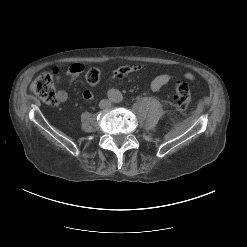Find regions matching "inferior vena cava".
I'll return each instance as SVG.
<instances>
[{
	"mask_svg": "<svg viewBox=\"0 0 247 247\" xmlns=\"http://www.w3.org/2000/svg\"><path fill=\"white\" fill-rule=\"evenodd\" d=\"M111 105V102L107 99H103L99 102V107L101 109L108 108Z\"/></svg>",
	"mask_w": 247,
	"mask_h": 247,
	"instance_id": "602c4592",
	"label": "inferior vena cava"
}]
</instances>
